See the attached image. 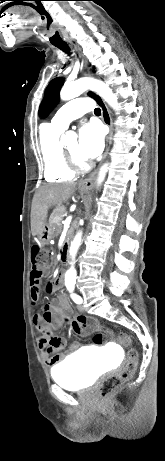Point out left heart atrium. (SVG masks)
I'll list each match as a JSON object with an SVG mask.
<instances>
[{"label":"left heart atrium","instance_id":"1","mask_svg":"<svg viewBox=\"0 0 165 461\" xmlns=\"http://www.w3.org/2000/svg\"><path fill=\"white\" fill-rule=\"evenodd\" d=\"M104 147V133L96 123L83 125L79 130L78 151L83 159L97 157Z\"/></svg>","mask_w":165,"mask_h":461}]
</instances>
